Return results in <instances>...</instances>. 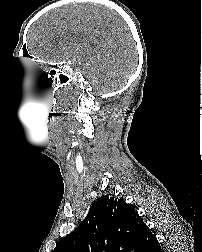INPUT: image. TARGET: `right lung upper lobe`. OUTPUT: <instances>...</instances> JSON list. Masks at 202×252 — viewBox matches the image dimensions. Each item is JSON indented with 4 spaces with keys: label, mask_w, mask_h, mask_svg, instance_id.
Segmentation results:
<instances>
[{
    "label": "right lung upper lobe",
    "mask_w": 202,
    "mask_h": 252,
    "mask_svg": "<svg viewBox=\"0 0 202 252\" xmlns=\"http://www.w3.org/2000/svg\"><path fill=\"white\" fill-rule=\"evenodd\" d=\"M159 245L148 226L121 197L105 195L52 252H153Z\"/></svg>",
    "instance_id": "obj_1"
}]
</instances>
